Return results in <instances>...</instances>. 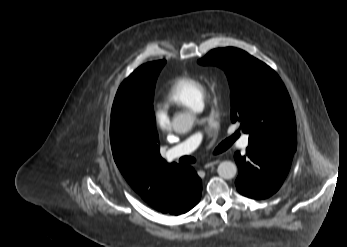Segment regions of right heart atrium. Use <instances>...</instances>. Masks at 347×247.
<instances>
[{"mask_svg":"<svg viewBox=\"0 0 347 247\" xmlns=\"http://www.w3.org/2000/svg\"><path fill=\"white\" fill-rule=\"evenodd\" d=\"M154 121L156 126L161 131H168L171 129L172 122L168 113L162 109H157L154 113Z\"/></svg>","mask_w":347,"mask_h":247,"instance_id":"right-heart-atrium-1","label":"right heart atrium"}]
</instances>
